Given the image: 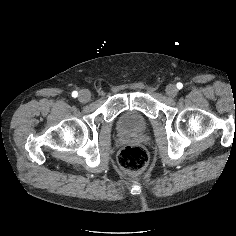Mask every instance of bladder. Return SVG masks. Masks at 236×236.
Segmentation results:
<instances>
[{
	"label": "bladder",
	"instance_id": "obj_1",
	"mask_svg": "<svg viewBox=\"0 0 236 236\" xmlns=\"http://www.w3.org/2000/svg\"><path fill=\"white\" fill-rule=\"evenodd\" d=\"M117 125L122 132L141 133L146 129L148 121L140 112L129 109L120 115Z\"/></svg>",
	"mask_w": 236,
	"mask_h": 236
}]
</instances>
